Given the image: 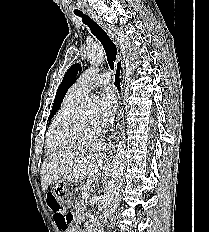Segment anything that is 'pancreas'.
Listing matches in <instances>:
<instances>
[{
	"label": "pancreas",
	"mask_w": 209,
	"mask_h": 232,
	"mask_svg": "<svg viewBox=\"0 0 209 232\" xmlns=\"http://www.w3.org/2000/svg\"><path fill=\"white\" fill-rule=\"evenodd\" d=\"M89 188H90V185L87 183H84L83 185L80 186V190H81L82 194L88 193Z\"/></svg>",
	"instance_id": "1"
}]
</instances>
